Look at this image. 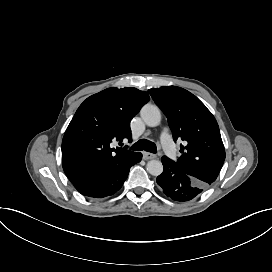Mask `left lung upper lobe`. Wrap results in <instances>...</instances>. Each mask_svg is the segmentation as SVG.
<instances>
[{"instance_id": "left-lung-upper-lobe-1", "label": "left lung upper lobe", "mask_w": 272, "mask_h": 272, "mask_svg": "<svg viewBox=\"0 0 272 272\" xmlns=\"http://www.w3.org/2000/svg\"><path fill=\"white\" fill-rule=\"evenodd\" d=\"M149 93L167 116L174 141L182 140L186 144L180 145L182 155L178 161H171L185 174L211 185L225 160L224 145L212 113L195 95L181 87L152 88Z\"/></svg>"}]
</instances>
